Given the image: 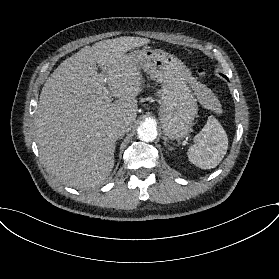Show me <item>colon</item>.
<instances>
[{"label": "colon", "instance_id": "1", "mask_svg": "<svg viewBox=\"0 0 279 279\" xmlns=\"http://www.w3.org/2000/svg\"><path fill=\"white\" fill-rule=\"evenodd\" d=\"M205 74H206V70H205L204 68H199V69L197 70V75H198V77L202 78V77L205 76Z\"/></svg>", "mask_w": 279, "mask_h": 279}]
</instances>
